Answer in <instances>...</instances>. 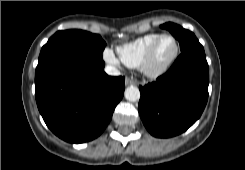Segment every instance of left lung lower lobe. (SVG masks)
Returning <instances> with one entry per match:
<instances>
[{
	"label": "left lung lower lobe",
	"mask_w": 245,
	"mask_h": 170,
	"mask_svg": "<svg viewBox=\"0 0 245 170\" xmlns=\"http://www.w3.org/2000/svg\"><path fill=\"white\" fill-rule=\"evenodd\" d=\"M208 84L206 56L183 52L167 73L140 86L139 114L150 134L168 138L192 126L206 106Z\"/></svg>",
	"instance_id": "0a47b994"
}]
</instances>
